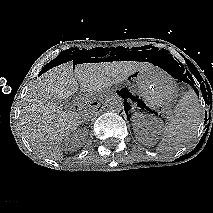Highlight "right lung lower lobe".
Masks as SVG:
<instances>
[{"label":"right lung lower lobe","mask_w":213,"mask_h":213,"mask_svg":"<svg viewBox=\"0 0 213 213\" xmlns=\"http://www.w3.org/2000/svg\"><path fill=\"white\" fill-rule=\"evenodd\" d=\"M45 67H46V66H44V68L42 69V71H41V72H44V70H45Z\"/></svg>","instance_id":"obj_1"}]
</instances>
